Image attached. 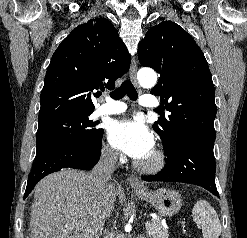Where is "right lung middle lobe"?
<instances>
[{
	"mask_svg": "<svg viewBox=\"0 0 247 238\" xmlns=\"http://www.w3.org/2000/svg\"><path fill=\"white\" fill-rule=\"evenodd\" d=\"M92 113L66 115L39 122L36 135V155L54 146L77 143L90 146L98 140L103 129H97L98 122L90 120Z\"/></svg>",
	"mask_w": 247,
	"mask_h": 238,
	"instance_id": "1",
	"label": "right lung middle lobe"
}]
</instances>
